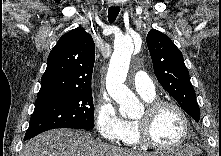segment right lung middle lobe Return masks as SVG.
I'll use <instances>...</instances> for the list:
<instances>
[{
  "label": "right lung middle lobe",
  "instance_id": "obj_1",
  "mask_svg": "<svg viewBox=\"0 0 221 156\" xmlns=\"http://www.w3.org/2000/svg\"><path fill=\"white\" fill-rule=\"evenodd\" d=\"M55 128H94L91 90L37 98L25 139Z\"/></svg>",
  "mask_w": 221,
  "mask_h": 156
}]
</instances>
